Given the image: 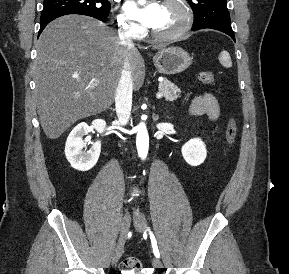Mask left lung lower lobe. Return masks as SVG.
<instances>
[{
	"instance_id": "1",
	"label": "left lung lower lobe",
	"mask_w": 289,
	"mask_h": 274,
	"mask_svg": "<svg viewBox=\"0 0 289 274\" xmlns=\"http://www.w3.org/2000/svg\"><path fill=\"white\" fill-rule=\"evenodd\" d=\"M205 28H210V29H215V30L221 31V32L229 35L235 41V36H234V32H233L232 28H227V27H205ZM200 29H204V28H200ZM192 30L195 31V30H199V29H192Z\"/></svg>"
}]
</instances>
